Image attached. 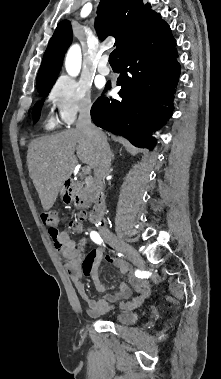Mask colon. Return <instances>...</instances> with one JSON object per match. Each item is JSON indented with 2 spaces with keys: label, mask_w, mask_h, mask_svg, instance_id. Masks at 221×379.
Returning <instances> with one entry per match:
<instances>
[{
  "label": "colon",
  "mask_w": 221,
  "mask_h": 379,
  "mask_svg": "<svg viewBox=\"0 0 221 379\" xmlns=\"http://www.w3.org/2000/svg\"><path fill=\"white\" fill-rule=\"evenodd\" d=\"M76 207L80 210L77 218L72 222L71 226L75 231H81L84 221L87 219L86 204L83 201H78ZM42 222L48 227L49 233L54 235L58 232L60 225V216L57 211H47L41 214ZM85 264V262H84Z\"/></svg>",
  "instance_id": "obj_1"
}]
</instances>
